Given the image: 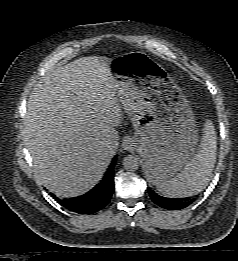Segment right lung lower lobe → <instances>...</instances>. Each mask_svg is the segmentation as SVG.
<instances>
[{
  "label": "right lung lower lobe",
  "instance_id": "98d812e1",
  "mask_svg": "<svg viewBox=\"0 0 238 261\" xmlns=\"http://www.w3.org/2000/svg\"><path fill=\"white\" fill-rule=\"evenodd\" d=\"M113 166L114 161L103 180L89 192L74 198L64 200L56 198V200L65 208L78 214H93L98 212L110 202L114 191Z\"/></svg>",
  "mask_w": 238,
  "mask_h": 261
}]
</instances>
